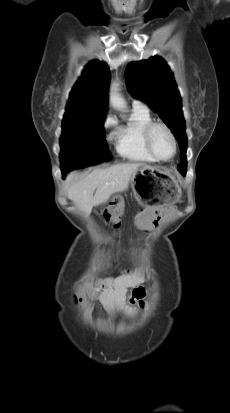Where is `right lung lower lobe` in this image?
<instances>
[{"label":"right lung lower lobe","mask_w":230,"mask_h":413,"mask_svg":"<svg viewBox=\"0 0 230 413\" xmlns=\"http://www.w3.org/2000/svg\"><path fill=\"white\" fill-rule=\"evenodd\" d=\"M62 174H63V176H65V175H66V173H64L63 171H62Z\"/></svg>","instance_id":"right-lung-lower-lobe-1"}]
</instances>
